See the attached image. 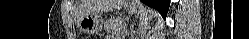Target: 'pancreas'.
I'll return each instance as SVG.
<instances>
[{
    "label": "pancreas",
    "mask_w": 249,
    "mask_h": 39,
    "mask_svg": "<svg viewBox=\"0 0 249 39\" xmlns=\"http://www.w3.org/2000/svg\"><path fill=\"white\" fill-rule=\"evenodd\" d=\"M104 27L106 31L115 36H124L126 33V22L124 18L121 17H111L109 18Z\"/></svg>",
    "instance_id": "obj_1"
}]
</instances>
